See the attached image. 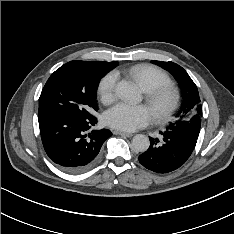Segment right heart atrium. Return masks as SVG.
<instances>
[{
  "label": "right heart atrium",
  "mask_w": 234,
  "mask_h": 234,
  "mask_svg": "<svg viewBox=\"0 0 234 234\" xmlns=\"http://www.w3.org/2000/svg\"><path fill=\"white\" fill-rule=\"evenodd\" d=\"M116 75L113 72L104 75L98 84V94L103 102H110L114 98Z\"/></svg>",
  "instance_id": "right-heart-atrium-1"
}]
</instances>
